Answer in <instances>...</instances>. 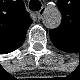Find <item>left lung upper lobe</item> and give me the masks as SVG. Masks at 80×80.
<instances>
[{
    "instance_id": "5c2ea615",
    "label": "left lung upper lobe",
    "mask_w": 80,
    "mask_h": 80,
    "mask_svg": "<svg viewBox=\"0 0 80 80\" xmlns=\"http://www.w3.org/2000/svg\"><path fill=\"white\" fill-rule=\"evenodd\" d=\"M60 10H61L62 17H63L62 23L58 28L54 30H50L49 34L52 40H56L57 37H61L62 40H67L70 38V36L68 35V31L70 29L72 31L73 27L77 30V27L74 26V23L76 22V25H78V23L75 20V16L70 11V9H66L64 6H62Z\"/></svg>"
}]
</instances>
